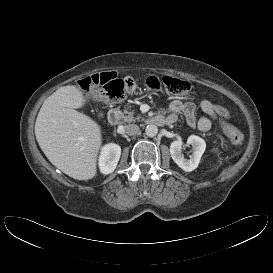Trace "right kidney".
I'll use <instances>...</instances> for the list:
<instances>
[{"instance_id": "right-kidney-1", "label": "right kidney", "mask_w": 273, "mask_h": 273, "mask_svg": "<svg viewBox=\"0 0 273 273\" xmlns=\"http://www.w3.org/2000/svg\"><path fill=\"white\" fill-rule=\"evenodd\" d=\"M121 148L119 145L110 143L105 145L101 150L99 158L100 171L103 174L112 173L120 159Z\"/></svg>"}]
</instances>
